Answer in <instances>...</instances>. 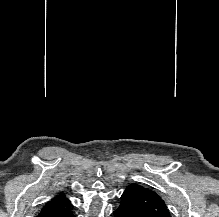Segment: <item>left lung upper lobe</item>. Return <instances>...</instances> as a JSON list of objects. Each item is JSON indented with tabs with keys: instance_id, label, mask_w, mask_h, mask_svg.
<instances>
[{
	"instance_id": "left-lung-upper-lobe-1",
	"label": "left lung upper lobe",
	"mask_w": 219,
	"mask_h": 217,
	"mask_svg": "<svg viewBox=\"0 0 219 217\" xmlns=\"http://www.w3.org/2000/svg\"><path fill=\"white\" fill-rule=\"evenodd\" d=\"M134 217H171L164 200L153 190L130 184L121 196V204Z\"/></svg>"
}]
</instances>
